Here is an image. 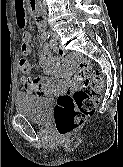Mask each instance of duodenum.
Here are the masks:
<instances>
[{
	"mask_svg": "<svg viewBox=\"0 0 123 167\" xmlns=\"http://www.w3.org/2000/svg\"><path fill=\"white\" fill-rule=\"evenodd\" d=\"M29 6L35 16V19L37 21V23L39 24V29L43 30L44 28V14L42 13V11L39 8V4L37 0H29Z\"/></svg>",
	"mask_w": 123,
	"mask_h": 167,
	"instance_id": "duodenum-1",
	"label": "duodenum"
}]
</instances>
